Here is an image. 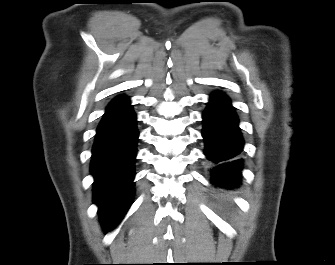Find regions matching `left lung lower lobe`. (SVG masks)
<instances>
[{
	"instance_id": "0a47b994",
	"label": "left lung lower lobe",
	"mask_w": 335,
	"mask_h": 265,
	"mask_svg": "<svg viewBox=\"0 0 335 265\" xmlns=\"http://www.w3.org/2000/svg\"><path fill=\"white\" fill-rule=\"evenodd\" d=\"M203 123L204 153L213 163L212 182L225 189L239 186L242 168L239 154L243 151V139L237 115L225 94L214 92L211 95L203 113Z\"/></svg>"
}]
</instances>
